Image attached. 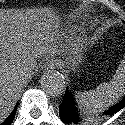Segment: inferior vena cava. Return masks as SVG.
<instances>
[{"mask_svg": "<svg viewBox=\"0 0 125 125\" xmlns=\"http://www.w3.org/2000/svg\"><path fill=\"white\" fill-rule=\"evenodd\" d=\"M30 63H31V66H30ZM32 63H33V61L31 60V62L29 61V67H28V63H27V66H26V67L20 68V69L18 70L19 77H20V80H21L22 82H24V79H27V77H28L27 72H29V71L31 70L32 65H33Z\"/></svg>", "mask_w": 125, "mask_h": 125, "instance_id": "inferior-vena-cava-1", "label": "inferior vena cava"}]
</instances>
